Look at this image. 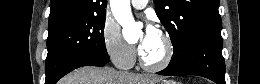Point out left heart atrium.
Here are the masks:
<instances>
[{
    "mask_svg": "<svg viewBox=\"0 0 260 84\" xmlns=\"http://www.w3.org/2000/svg\"><path fill=\"white\" fill-rule=\"evenodd\" d=\"M157 35L158 32L156 28L151 24H147L139 44L140 52L146 49L152 43V41L157 37Z\"/></svg>",
    "mask_w": 260,
    "mask_h": 84,
    "instance_id": "left-heart-atrium-1",
    "label": "left heart atrium"
}]
</instances>
